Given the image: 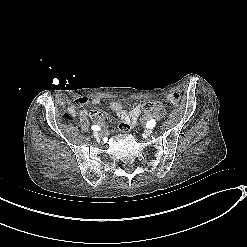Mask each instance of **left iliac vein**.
Segmentation results:
<instances>
[{
    "instance_id": "obj_1",
    "label": "left iliac vein",
    "mask_w": 247,
    "mask_h": 247,
    "mask_svg": "<svg viewBox=\"0 0 247 247\" xmlns=\"http://www.w3.org/2000/svg\"><path fill=\"white\" fill-rule=\"evenodd\" d=\"M152 132H153L152 128H148V129H146V130L144 131V135H145V136H149V135L152 134Z\"/></svg>"
}]
</instances>
